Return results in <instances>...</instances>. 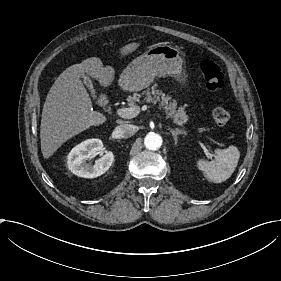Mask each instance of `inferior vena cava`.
<instances>
[{
    "instance_id": "inferior-vena-cava-1",
    "label": "inferior vena cava",
    "mask_w": 281,
    "mask_h": 281,
    "mask_svg": "<svg viewBox=\"0 0 281 281\" xmlns=\"http://www.w3.org/2000/svg\"><path fill=\"white\" fill-rule=\"evenodd\" d=\"M136 133V126L131 124L119 125L115 128L113 134L116 138H128Z\"/></svg>"
}]
</instances>
